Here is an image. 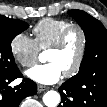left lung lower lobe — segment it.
Instances as JSON below:
<instances>
[{"label":"left lung lower lobe","mask_w":107,"mask_h":107,"mask_svg":"<svg viewBox=\"0 0 107 107\" xmlns=\"http://www.w3.org/2000/svg\"><path fill=\"white\" fill-rule=\"evenodd\" d=\"M81 84L83 85L80 88L86 90L84 94L79 90ZM59 92L63 103L60 107H68L66 99L77 94L83 95L81 107H107V77L105 76L94 75L76 85L68 80L61 85Z\"/></svg>","instance_id":"0a47b994"}]
</instances>
